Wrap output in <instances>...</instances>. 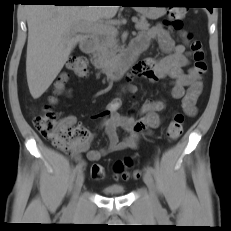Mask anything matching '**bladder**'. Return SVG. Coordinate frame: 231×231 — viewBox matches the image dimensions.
I'll return each instance as SVG.
<instances>
[{
  "instance_id": "1",
  "label": "bladder",
  "mask_w": 231,
  "mask_h": 231,
  "mask_svg": "<svg viewBox=\"0 0 231 231\" xmlns=\"http://www.w3.org/2000/svg\"><path fill=\"white\" fill-rule=\"evenodd\" d=\"M102 193L109 196H120L125 193V188L121 185H110L104 187Z\"/></svg>"
}]
</instances>
